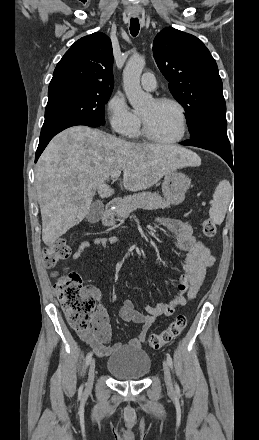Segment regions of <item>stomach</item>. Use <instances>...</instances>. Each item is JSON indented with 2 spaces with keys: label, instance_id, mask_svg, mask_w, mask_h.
Returning <instances> with one entry per match:
<instances>
[{
  "label": "stomach",
  "instance_id": "1",
  "mask_svg": "<svg viewBox=\"0 0 259 440\" xmlns=\"http://www.w3.org/2000/svg\"><path fill=\"white\" fill-rule=\"evenodd\" d=\"M191 180L183 173L169 172L165 174L162 183V192L167 202L172 205H179L185 199Z\"/></svg>",
  "mask_w": 259,
  "mask_h": 440
}]
</instances>
